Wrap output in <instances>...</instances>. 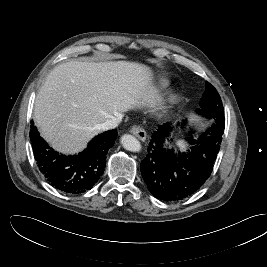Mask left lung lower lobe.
<instances>
[{
	"instance_id": "0a47b994",
	"label": "left lung lower lobe",
	"mask_w": 267,
	"mask_h": 267,
	"mask_svg": "<svg viewBox=\"0 0 267 267\" xmlns=\"http://www.w3.org/2000/svg\"><path fill=\"white\" fill-rule=\"evenodd\" d=\"M224 128L225 121L213 124L197 140L190 138L191 147L182 153L165 145L173 130L169 123L154 131L140 165L150 192L158 199L177 201L197 191L212 172Z\"/></svg>"
}]
</instances>
